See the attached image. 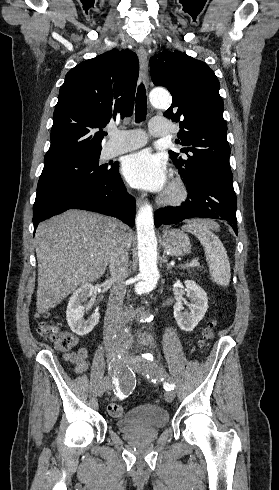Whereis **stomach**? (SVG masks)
I'll use <instances>...</instances> for the list:
<instances>
[{"mask_svg":"<svg viewBox=\"0 0 279 490\" xmlns=\"http://www.w3.org/2000/svg\"><path fill=\"white\" fill-rule=\"evenodd\" d=\"M162 246L167 256H185L191 252L190 240L182 230L166 228L162 234Z\"/></svg>","mask_w":279,"mask_h":490,"instance_id":"stomach-1","label":"stomach"}]
</instances>
